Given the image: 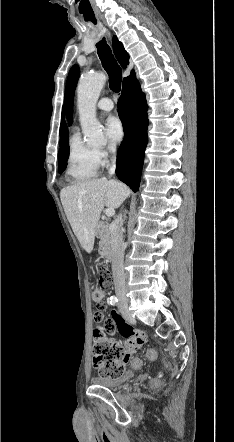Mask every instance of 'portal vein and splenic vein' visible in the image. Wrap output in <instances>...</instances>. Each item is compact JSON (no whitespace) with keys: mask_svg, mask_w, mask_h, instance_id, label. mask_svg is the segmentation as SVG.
I'll list each match as a JSON object with an SVG mask.
<instances>
[{"mask_svg":"<svg viewBox=\"0 0 234 442\" xmlns=\"http://www.w3.org/2000/svg\"><path fill=\"white\" fill-rule=\"evenodd\" d=\"M115 214V210L113 208H107L105 209V215L107 217H112Z\"/></svg>","mask_w":234,"mask_h":442,"instance_id":"18ae733b","label":"portal vein and splenic vein"}]
</instances>
